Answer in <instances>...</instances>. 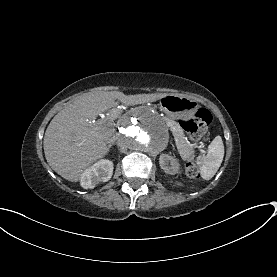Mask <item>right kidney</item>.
<instances>
[{"label": "right kidney", "instance_id": "obj_1", "mask_svg": "<svg viewBox=\"0 0 277 277\" xmlns=\"http://www.w3.org/2000/svg\"><path fill=\"white\" fill-rule=\"evenodd\" d=\"M113 162L102 159L84 170L80 178V185L84 189H93L101 182H107L113 174Z\"/></svg>", "mask_w": 277, "mask_h": 277}]
</instances>
